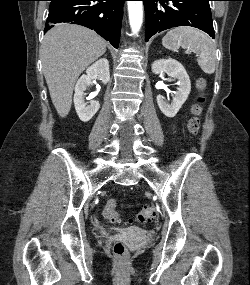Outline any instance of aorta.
<instances>
[{"mask_svg":"<svg viewBox=\"0 0 250 285\" xmlns=\"http://www.w3.org/2000/svg\"><path fill=\"white\" fill-rule=\"evenodd\" d=\"M129 23L133 34H137L143 22V2L127 1Z\"/></svg>","mask_w":250,"mask_h":285,"instance_id":"1","label":"aorta"}]
</instances>
